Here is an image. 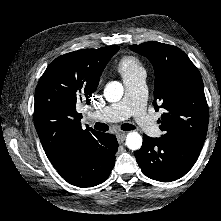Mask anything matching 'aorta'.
Masks as SVG:
<instances>
[{
  "instance_id": "762f6f07",
  "label": "aorta",
  "mask_w": 221,
  "mask_h": 221,
  "mask_svg": "<svg viewBox=\"0 0 221 221\" xmlns=\"http://www.w3.org/2000/svg\"><path fill=\"white\" fill-rule=\"evenodd\" d=\"M123 92L124 88L120 82L111 81L104 88V97L108 102H118L122 98ZM142 141V136L136 131L127 134L126 145L131 150L140 149Z\"/></svg>"
}]
</instances>
